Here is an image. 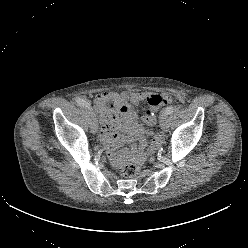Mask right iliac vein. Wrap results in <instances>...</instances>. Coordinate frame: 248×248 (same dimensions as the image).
Instances as JSON below:
<instances>
[{
	"instance_id": "obj_1",
	"label": "right iliac vein",
	"mask_w": 248,
	"mask_h": 248,
	"mask_svg": "<svg viewBox=\"0 0 248 248\" xmlns=\"http://www.w3.org/2000/svg\"><path fill=\"white\" fill-rule=\"evenodd\" d=\"M90 112V128L93 134L97 133L98 130V121H97V116L95 110L92 108H89Z\"/></svg>"
}]
</instances>
